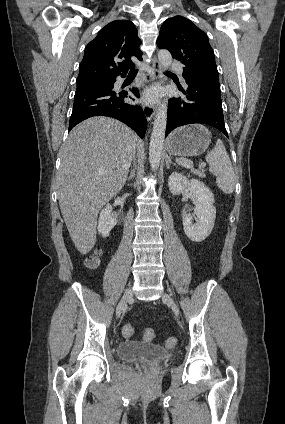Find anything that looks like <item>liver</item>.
<instances>
[{
	"label": "liver",
	"instance_id": "6515ba94",
	"mask_svg": "<svg viewBox=\"0 0 285 424\" xmlns=\"http://www.w3.org/2000/svg\"><path fill=\"white\" fill-rule=\"evenodd\" d=\"M138 140L124 123L96 116L74 127L61 147L59 206L69 235L83 255L96 242L99 210L126 182Z\"/></svg>",
	"mask_w": 285,
	"mask_h": 424
}]
</instances>
